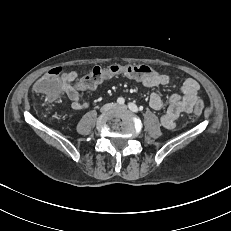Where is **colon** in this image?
<instances>
[{"label":"colon","instance_id":"1","mask_svg":"<svg viewBox=\"0 0 231 231\" xmlns=\"http://www.w3.org/2000/svg\"><path fill=\"white\" fill-rule=\"evenodd\" d=\"M61 68H53L49 71V74H42L39 82L35 83L34 91L37 94H43L50 99H56L60 93V86L58 82V76L61 74ZM165 72H156L145 65H119L114 64L107 67H94L89 74L82 78L77 86L81 90H91L96 88L102 81L108 78L116 76H126L129 77L137 86L138 80L141 77L163 74ZM167 74V73H166ZM140 87V86H139ZM207 102L205 100L199 99L194 104L193 114L199 117L207 109Z\"/></svg>","mask_w":231,"mask_h":231}]
</instances>
